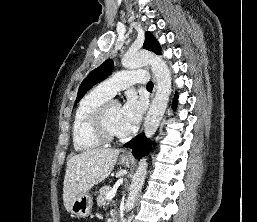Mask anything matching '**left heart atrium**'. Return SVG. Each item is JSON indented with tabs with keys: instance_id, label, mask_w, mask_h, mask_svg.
<instances>
[{
	"instance_id": "1",
	"label": "left heart atrium",
	"mask_w": 257,
	"mask_h": 222,
	"mask_svg": "<svg viewBox=\"0 0 257 222\" xmlns=\"http://www.w3.org/2000/svg\"><path fill=\"white\" fill-rule=\"evenodd\" d=\"M144 102L136 95L130 94L121 107V117L119 121V129L121 134H129L133 132L141 118L144 111Z\"/></svg>"
}]
</instances>
